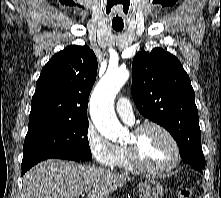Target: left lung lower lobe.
Returning a JSON list of instances; mask_svg holds the SVG:
<instances>
[{
  "label": "left lung lower lobe",
  "mask_w": 221,
  "mask_h": 198,
  "mask_svg": "<svg viewBox=\"0 0 221 198\" xmlns=\"http://www.w3.org/2000/svg\"><path fill=\"white\" fill-rule=\"evenodd\" d=\"M193 168L197 169L198 171H200V172L202 173V170H201V169H198V168H196V167H193Z\"/></svg>",
  "instance_id": "1"
}]
</instances>
